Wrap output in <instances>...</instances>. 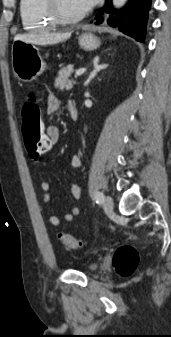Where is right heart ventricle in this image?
Here are the masks:
<instances>
[{
  "mask_svg": "<svg viewBox=\"0 0 171 337\" xmlns=\"http://www.w3.org/2000/svg\"><path fill=\"white\" fill-rule=\"evenodd\" d=\"M21 21L27 30H45L57 23L50 17L46 0H20Z\"/></svg>",
  "mask_w": 171,
  "mask_h": 337,
  "instance_id": "1",
  "label": "right heart ventricle"
}]
</instances>
